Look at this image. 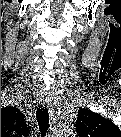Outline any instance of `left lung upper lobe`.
I'll use <instances>...</instances> for the list:
<instances>
[{"instance_id":"1","label":"left lung upper lobe","mask_w":121,"mask_h":137,"mask_svg":"<svg viewBox=\"0 0 121 137\" xmlns=\"http://www.w3.org/2000/svg\"><path fill=\"white\" fill-rule=\"evenodd\" d=\"M75 126L79 135L84 137H114L121 134L119 128L112 121L88 109L79 110Z\"/></svg>"}]
</instances>
